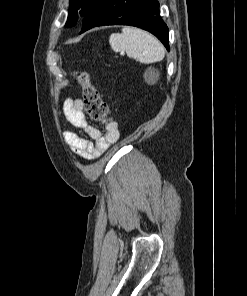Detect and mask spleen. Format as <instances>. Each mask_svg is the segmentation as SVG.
Listing matches in <instances>:
<instances>
[{"label":"spleen","mask_w":247,"mask_h":296,"mask_svg":"<svg viewBox=\"0 0 247 296\" xmlns=\"http://www.w3.org/2000/svg\"><path fill=\"white\" fill-rule=\"evenodd\" d=\"M109 43L113 51L126 52L129 58L143 64L161 61L165 56V49L158 39L134 27H124L121 33H112Z\"/></svg>","instance_id":"obj_1"}]
</instances>
